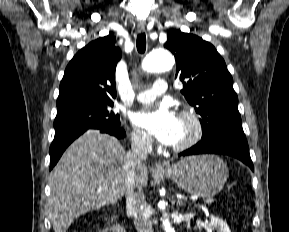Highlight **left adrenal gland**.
<instances>
[{"label": "left adrenal gland", "mask_w": 289, "mask_h": 232, "mask_svg": "<svg viewBox=\"0 0 289 232\" xmlns=\"http://www.w3.org/2000/svg\"><path fill=\"white\" fill-rule=\"evenodd\" d=\"M183 204V201L182 200H178L177 201V205H182Z\"/></svg>", "instance_id": "a2214340"}]
</instances>
